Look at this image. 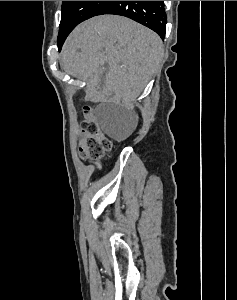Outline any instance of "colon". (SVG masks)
Segmentation results:
<instances>
[{
    "instance_id": "5ec220e1",
    "label": "colon",
    "mask_w": 237,
    "mask_h": 300,
    "mask_svg": "<svg viewBox=\"0 0 237 300\" xmlns=\"http://www.w3.org/2000/svg\"><path fill=\"white\" fill-rule=\"evenodd\" d=\"M84 121L81 125V143L79 155L81 158L97 160L102 158L112 148L111 140L102 132L94 111L91 107L84 108Z\"/></svg>"
}]
</instances>
